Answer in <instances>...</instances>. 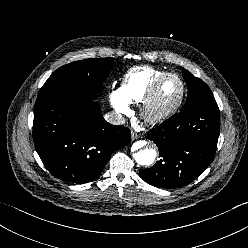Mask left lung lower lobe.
<instances>
[{
  "instance_id": "obj_1",
  "label": "left lung lower lobe",
  "mask_w": 248,
  "mask_h": 248,
  "mask_svg": "<svg viewBox=\"0 0 248 248\" xmlns=\"http://www.w3.org/2000/svg\"><path fill=\"white\" fill-rule=\"evenodd\" d=\"M219 133L216 101L181 110L148 132L146 138L156 143L161 159L140 169L141 177L155 187L188 185L213 161Z\"/></svg>"
}]
</instances>
